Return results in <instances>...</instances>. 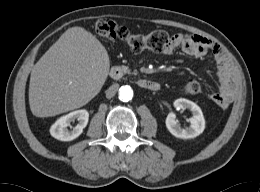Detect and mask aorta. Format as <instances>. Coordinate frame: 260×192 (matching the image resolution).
<instances>
[{"label": "aorta", "mask_w": 260, "mask_h": 192, "mask_svg": "<svg viewBox=\"0 0 260 192\" xmlns=\"http://www.w3.org/2000/svg\"><path fill=\"white\" fill-rule=\"evenodd\" d=\"M133 97V90L130 86H122L119 89V99L123 102H128Z\"/></svg>", "instance_id": "aorta-1"}]
</instances>
